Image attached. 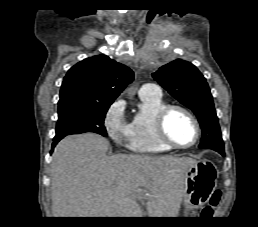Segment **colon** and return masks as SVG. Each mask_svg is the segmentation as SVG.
<instances>
[{
    "mask_svg": "<svg viewBox=\"0 0 258 227\" xmlns=\"http://www.w3.org/2000/svg\"><path fill=\"white\" fill-rule=\"evenodd\" d=\"M222 193L219 190H215L208 201V205L203 209L204 215H211L213 212V209L219 204L221 200Z\"/></svg>",
    "mask_w": 258,
    "mask_h": 227,
    "instance_id": "1",
    "label": "colon"
}]
</instances>
